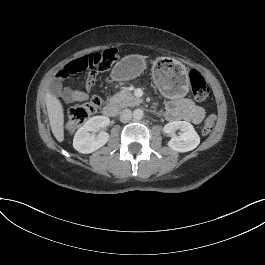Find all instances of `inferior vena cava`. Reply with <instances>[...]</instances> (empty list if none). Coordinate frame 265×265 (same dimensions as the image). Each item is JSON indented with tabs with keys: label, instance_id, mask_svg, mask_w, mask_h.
I'll use <instances>...</instances> for the list:
<instances>
[{
	"label": "inferior vena cava",
	"instance_id": "602c4592",
	"mask_svg": "<svg viewBox=\"0 0 265 265\" xmlns=\"http://www.w3.org/2000/svg\"><path fill=\"white\" fill-rule=\"evenodd\" d=\"M131 118H132V112H131V110H129V109H125V110H123V111L121 112V114H120V121H121L122 123H127V122H129V121L131 120Z\"/></svg>",
	"mask_w": 265,
	"mask_h": 265
}]
</instances>
